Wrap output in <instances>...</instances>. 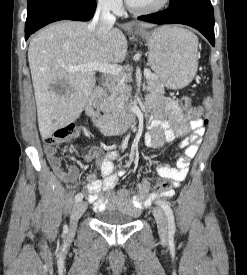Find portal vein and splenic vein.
<instances>
[{
	"label": "portal vein and splenic vein",
	"mask_w": 247,
	"mask_h": 275,
	"mask_svg": "<svg viewBox=\"0 0 247 275\" xmlns=\"http://www.w3.org/2000/svg\"><path fill=\"white\" fill-rule=\"evenodd\" d=\"M122 67L115 64H100V63H88L78 66H70L68 67V71L70 72H92L98 71L104 74L110 75H119L121 73ZM144 76L146 78L151 76V72L148 69L144 70Z\"/></svg>",
	"instance_id": "obj_1"
}]
</instances>
